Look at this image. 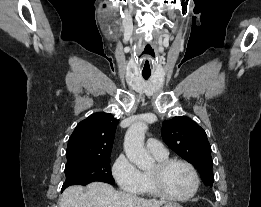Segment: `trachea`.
<instances>
[{"mask_svg":"<svg viewBox=\"0 0 261 207\" xmlns=\"http://www.w3.org/2000/svg\"><path fill=\"white\" fill-rule=\"evenodd\" d=\"M151 74H142L143 78L147 80L150 77Z\"/></svg>","mask_w":261,"mask_h":207,"instance_id":"3493384b","label":"trachea"}]
</instances>
